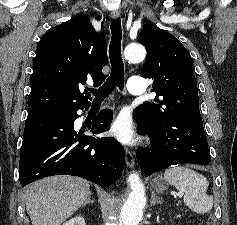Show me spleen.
<instances>
[{"label":"spleen","instance_id":"3e777b00","mask_svg":"<svg viewBox=\"0 0 237 225\" xmlns=\"http://www.w3.org/2000/svg\"><path fill=\"white\" fill-rule=\"evenodd\" d=\"M165 180L184 194V203L193 212L205 214L213 206V198L206 194L207 179L200 173L184 166H173L164 173Z\"/></svg>","mask_w":237,"mask_h":225}]
</instances>
